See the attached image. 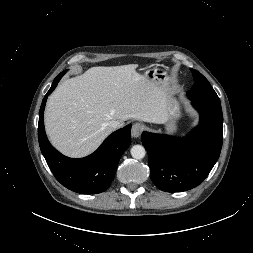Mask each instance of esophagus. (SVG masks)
I'll return each instance as SVG.
<instances>
[{
  "label": "esophagus",
  "instance_id": "1",
  "mask_svg": "<svg viewBox=\"0 0 253 253\" xmlns=\"http://www.w3.org/2000/svg\"><path fill=\"white\" fill-rule=\"evenodd\" d=\"M142 130H143V126L140 123L133 124L132 129H131L132 137L138 138L141 135Z\"/></svg>",
  "mask_w": 253,
  "mask_h": 253
}]
</instances>
